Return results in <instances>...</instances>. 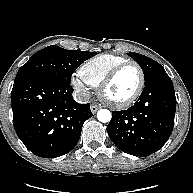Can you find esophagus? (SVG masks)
<instances>
[{
    "label": "esophagus",
    "mask_w": 193,
    "mask_h": 193,
    "mask_svg": "<svg viewBox=\"0 0 193 193\" xmlns=\"http://www.w3.org/2000/svg\"><path fill=\"white\" fill-rule=\"evenodd\" d=\"M90 108H91V112L93 114L96 113L99 110V106H97L95 104H92Z\"/></svg>",
    "instance_id": "1"
}]
</instances>
